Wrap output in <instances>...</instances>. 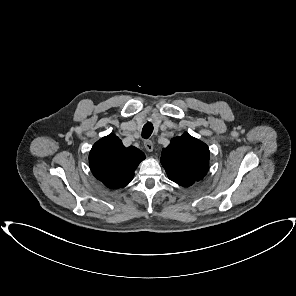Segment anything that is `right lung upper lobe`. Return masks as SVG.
I'll use <instances>...</instances> for the list:
<instances>
[{"mask_svg": "<svg viewBox=\"0 0 296 296\" xmlns=\"http://www.w3.org/2000/svg\"><path fill=\"white\" fill-rule=\"evenodd\" d=\"M145 159L144 153L136 147L126 148L114 134L97 141L89 155L93 175L111 189L125 187L134 177V171Z\"/></svg>", "mask_w": 296, "mask_h": 296, "instance_id": "cb5924a9", "label": "right lung upper lobe"}]
</instances>
